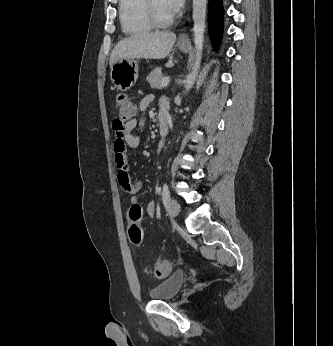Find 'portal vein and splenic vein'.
<instances>
[{
	"mask_svg": "<svg viewBox=\"0 0 333 346\" xmlns=\"http://www.w3.org/2000/svg\"><path fill=\"white\" fill-rule=\"evenodd\" d=\"M170 77H164L161 82V86H167L169 84Z\"/></svg>",
	"mask_w": 333,
	"mask_h": 346,
	"instance_id": "18ae733b",
	"label": "portal vein and splenic vein"
}]
</instances>
